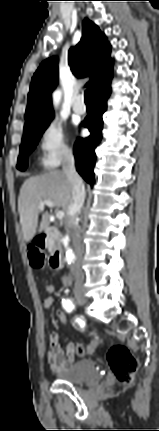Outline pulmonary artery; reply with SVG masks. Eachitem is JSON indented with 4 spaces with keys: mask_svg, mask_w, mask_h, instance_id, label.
I'll return each instance as SVG.
<instances>
[{
    "mask_svg": "<svg viewBox=\"0 0 159 431\" xmlns=\"http://www.w3.org/2000/svg\"><path fill=\"white\" fill-rule=\"evenodd\" d=\"M73 110L77 114H84L86 112V106L84 104V98L82 95H78L73 104Z\"/></svg>",
    "mask_w": 159,
    "mask_h": 431,
    "instance_id": "pulmonary-artery-1",
    "label": "pulmonary artery"
}]
</instances>
